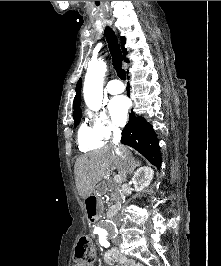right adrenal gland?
<instances>
[{"label":"right adrenal gland","mask_w":221,"mask_h":266,"mask_svg":"<svg viewBox=\"0 0 221 266\" xmlns=\"http://www.w3.org/2000/svg\"><path fill=\"white\" fill-rule=\"evenodd\" d=\"M139 166H141V163L140 162L136 163V166L135 167H139ZM133 171H134V169L130 172V174H132Z\"/></svg>","instance_id":"1"}]
</instances>
